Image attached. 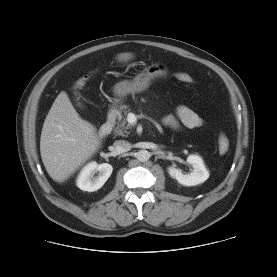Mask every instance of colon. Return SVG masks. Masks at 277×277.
Segmentation results:
<instances>
[{
	"label": "colon",
	"instance_id": "obj_1",
	"mask_svg": "<svg viewBox=\"0 0 277 277\" xmlns=\"http://www.w3.org/2000/svg\"><path fill=\"white\" fill-rule=\"evenodd\" d=\"M175 77L183 83H191L193 81L192 77L184 72H178L175 74ZM88 77L84 76L82 78H80L79 80L76 81L75 86H74V90L75 93H77L78 90L82 89L86 82H87ZM230 147V142L228 137L224 134V133H220L218 136V150L220 153L225 154Z\"/></svg>",
	"mask_w": 277,
	"mask_h": 277
}]
</instances>
